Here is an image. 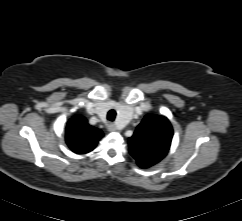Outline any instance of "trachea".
I'll list each match as a JSON object with an SVG mask.
<instances>
[{
	"label": "trachea",
	"mask_w": 242,
	"mask_h": 221,
	"mask_svg": "<svg viewBox=\"0 0 242 221\" xmlns=\"http://www.w3.org/2000/svg\"><path fill=\"white\" fill-rule=\"evenodd\" d=\"M115 117H116V111L115 110H110L108 113H107V119L109 121H114L115 120Z\"/></svg>",
	"instance_id": "obj_1"
}]
</instances>
